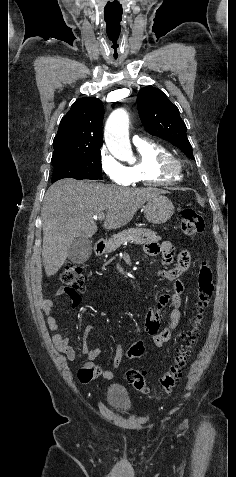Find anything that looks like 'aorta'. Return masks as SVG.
<instances>
[{
    "instance_id": "aorta-1",
    "label": "aorta",
    "mask_w": 236,
    "mask_h": 477,
    "mask_svg": "<svg viewBox=\"0 0 236 477\" xmlns=\"http://www.w3.org/2000/svg\"><path fill=\"white\" fill-rule=\"evenodd\" d=\"M105 142L110 151L121 159L132 157L129 140V116L124 109L115 110L108 118L105 131Z\"/></svg>"
}]
</instances>
